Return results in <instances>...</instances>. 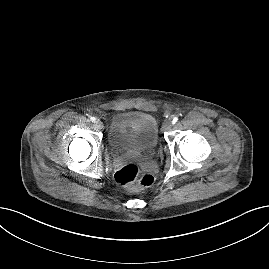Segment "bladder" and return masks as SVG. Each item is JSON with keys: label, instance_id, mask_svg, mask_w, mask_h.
<instances>
[{"label": "bladder", "instance_id": "obj_1", "mask_svg": "<svg viewBox=\"0 0 269 269\" xmlns=\"http://www.w3.org/2000/svg\"><path fill=\"white\" fill-rule=\"evenodd\" d=\"M108 141L115 153H150L158 144L157 121L143 112L117 113L109 126Z\"/></svg>", "mask_w": 269, "mask_h": 269}]
</instances>
